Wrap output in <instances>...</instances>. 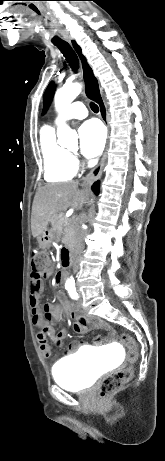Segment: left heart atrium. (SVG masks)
Returning a JSON list of instances; mask_svg holds the SVG:
<instances>
[{
    "mask_svg": "<svg viewBox=\"0 0 165 461\" xmlns=\"http://www.w3.org/2000/svg\"><path fill=\"white\" fill-rule=\"evenodd\" d=\"M79 139L82 154L95 157L102 152L105 146V130L99 122L89 120L79 128Z\"/></svg>",
    "mask_w": 165,
    "mask_h": 461,
    "instance_id": "obj_1",
    "label": "left heart atrium"
}]
</instances>
